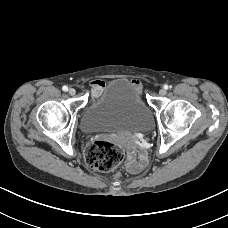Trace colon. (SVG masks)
Instances as JSON below:
<instances>
[{"label": "colon", "instance_id": "obj_1", "mask_svg": "<svg viewBox=\"0 0 228 228\" xmlns=\"http://www.w3.org/2000/svg\"><path fill=\"white\" fill-rule=\"evenodd\" d=\"M124 149L113 142L95 141L87 148L86 164L96 170L107 172L116 168L124 159Z\"/></svg>", "mask_w": 228, "mask_h": 228}]
</instances>
